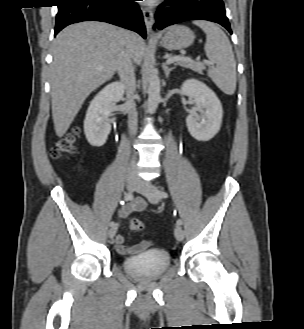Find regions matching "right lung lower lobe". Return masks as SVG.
<instances>
[{"label": "right lung lower lobe", "mask_w": 304, "mask_h": 329, "mask_svg": "<svg viewBox=\"0 0 304 329\" xmlns=\"http://www.w3.org/2000/svg\"><path fill=\"white\" fill-rule=\"evenodd\" d=\"M135 0H61L56 16V35L81 21H103L133 30L146 38L142 12Z\"/></svg>", "instance_id": "1"}]
</instances>
